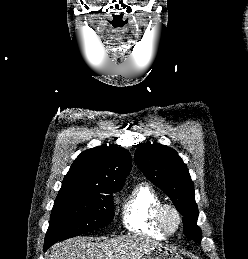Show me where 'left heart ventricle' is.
<instances>
[{
    "label": "left heart ventricle",
    "instance_id": "left-heart-ventricle-1",
    "mask_svg": "<svg viewBox=\"0 0 248 259\" xmlns=\"http://www.w3.org/2000/svg\"><path fill=\"white\" fill-rule=\"evenodd\" d=\"M166 221L170 228H174L177 224L176 216L172 212H168L166 215Z\"/></svg>",
    "mask_w": 248,
    "mask_h": 259
}]
</instances>
